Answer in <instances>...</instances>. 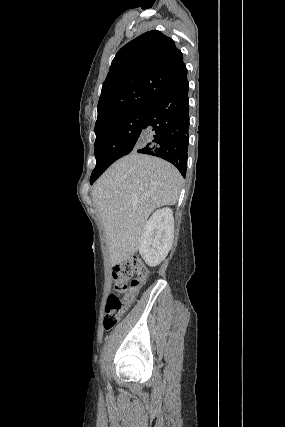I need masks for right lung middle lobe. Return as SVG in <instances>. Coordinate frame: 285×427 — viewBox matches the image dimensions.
<instances>
[{"label":"right lung middle lobe","mask_w":285,"mask_h":427,"mask_svg":"<svg viewBox=\"0 0 285 427\" xmlns=\"http://www.w3.org/2000/svg\"><path fill=\"white\" fill-rule=\"evenodd\" d=\"M146 107L119 114L95 127L96 166L91 178L114 161L129 154L140 143Z\"/></svg>","instance_id":"obj_1"}]
</instances>
